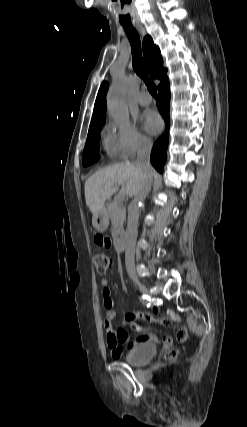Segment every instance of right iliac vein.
Wrapping results in <instances>:
<instances>
[{
	"label": "right iliac vein",
	"mask_w": 247,
	"mask_h": 427,
	"mask_svg": "<svg viewBox=\"0 0 247 427\" xmlns=\"http://www.w3.org/2000/svg\"><path fill=\"white\" fill-rule=\"evenodd\" d=\"M133 282L138 286V288L140 289V291L149 297H152V294L150 293V291L147 289V287L142 284L136 277H132Z\"/></svg>",
	"instance_id": "63e3f726"
}]
</instances>
